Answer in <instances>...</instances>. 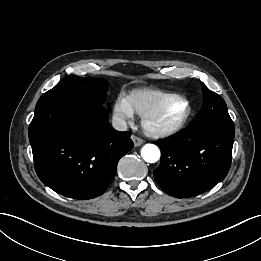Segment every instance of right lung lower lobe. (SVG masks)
Instances as JSON below:
<instances>
[{"mask_svg": "<svg viewBox=\"0 0 261 261\" xmlns=\"http://www.w3.org/2000/svg\"><path fill=\"white\" fill-rule=\"evenodd\" d=\"M114 130L102 104L40 99L29 126L36 173L55 192L87 200L102 195L119 159L134 146Z\"/></svg>", "mask_w": 261, "mask_h": 261, "instance_id": "right-lung-lower-lobe-1", "label": "right lung lower lobe"}]
</instances>
